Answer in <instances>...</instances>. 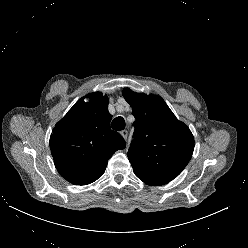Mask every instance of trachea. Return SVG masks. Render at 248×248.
I'll list each match as a JSON object with an SVG mask.
<instances>
[{"instance_id": "3493384b", "label": "trachea", "mask_w": 248, "mask_h": 248, "mask_svg": "<svg viewBox=\"0 0 248 248\" xmlns=\"http://www.w3.org/2000/svg\"><path fill=\"white\" fill-rule=\"evenodd\" d=\"M112 129L116 130V131H121L125 128V120L123 117L119 116L116 117L113 121H112Z\"/></svg>"}]
</instances>
